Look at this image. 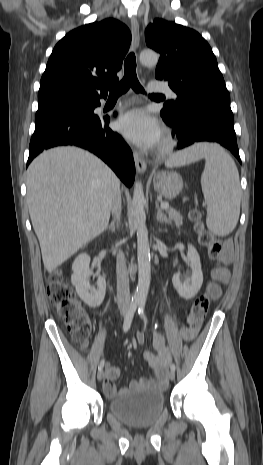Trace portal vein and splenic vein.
Masks as SVG:
<instances>
[{
    "label": "portal vein and splenic vein",
    "mask_w": 263,
    "mask_h": 465,
    "mask_svg": "<svg viewBox=\"0 0 263 465\" xmlns=\"http://www.w3.org/2000/svg\"><path fill=\"white\" fill-rule=\"evenodd\" d=\"M161 208L164 209V210H167L169 208V204L168 203H161Z\"/></svg>",
    "instance_id": "18ae733b"
}]
</instances>
